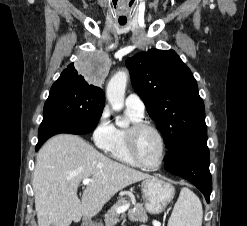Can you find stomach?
Here are the masks:
<instances>
[{
    "mask_svg": "<svg viewBox=\"0 0 247 226\" xmlns=\"http://www.w3.org/2000/svg\"><path fill=\"white\" fill-rule=\"evenodd\" d=\"M141 190L145 199L146 210L151 214L161 213L175 194L174 187L158 177L145 179L141 184Z\"/></svg>",
    "mask_w": 247,
    "mask_h": 226,
    "instance_id": "1",
    "label": "stomach"
}]
</instances>
